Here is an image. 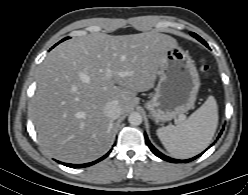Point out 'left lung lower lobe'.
<instances>
[{"instance_id": "0a47b994", "label": "left lung lower lobe", "mask_w": 248, "mask_h": 195, "mask_svg": "<svg viewBox=\"0 0 248 195\" xmlns=\"http://www.w3.org/2000/svg\"><path fill=\"white\" fill-rule=\"evenodd\" d=\"M208 46V45H206ZM222 133V132H221ZM220 136V134H219ZM145 140H146V144L148 145V147L150 148V150L156 155L158 156L159 158L165 160V161H168V162H172V163H179V162H190L196 158H198L199 156H201L202 154H199L197 156H195L194 158H191V159H187V160H177V159H173V158H170L168 156H165L164 154H162L161 152H159L149 141L148 137L146 136L145 134Z\"/></svg>"}]
</instances>
